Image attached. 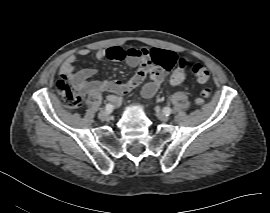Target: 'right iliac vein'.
<instances>
[{
    "label": "right iliac vein",
    "instance_id": "1",
    "mask_svg": "<svg viewBox=\"0 0 270 213\" xmlns=\"http://www.w3.org/2000/svg\"><path fill=\"white\" fill-rule=\"evenodd\" d=\"M98 117L101 121H105L109 119L110 113L107 110H102L99 112Z\"/></svg>",
    "mask_w": 270,
    "mask_h": 213
}]
</instances>
